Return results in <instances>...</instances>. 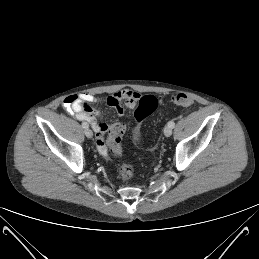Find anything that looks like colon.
I'll use <instances>...</instances> for the list:
<instances>
[{"instance_id": "1", "label": "colon", "mask_w": 259, "mask_h": 259, "mask_svg": "<svg viewBox=\"0 0 259 259\" xmlns=\"http://www.w3.org/2000/svg\"><path fill=\"white\" fill-rule=\"evenodd\" d=\"M172 102L179 106L188 107L194 103L191 96L186 93H178L172 96ZM158 100L152 95L139 97L134 111L133 137L140 141L139 125L143 119L154 112L157 108ZM125 132V125L121 122L113 123L108 131L105 156L109 158L120 157L123 152L122 139ZM119 176L122 180L128 181L134 176V167L131 164L123 163L119 167Z\"/></svg>"}]
</instances>
